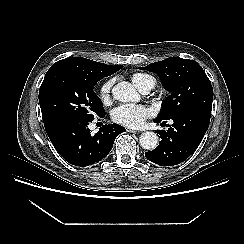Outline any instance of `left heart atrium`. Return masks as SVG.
<instances>
[{
  "label": "left heart atrium",
  "mask_w": 244,
  "mask_h": 244,
  "mask_svg": "<svg viewBox=\"0 0 244 244\" xmlns=\"http://www.w3.org/2000/svg\"><path fill=\"white\" fill-rule=\"evenodd\" d=\"M149 115L150 110L145 106L124 104L113 110L112 119L123 126L139 128Z\"/></svg>",
  "instance_id": "1"
}]
</instances>
